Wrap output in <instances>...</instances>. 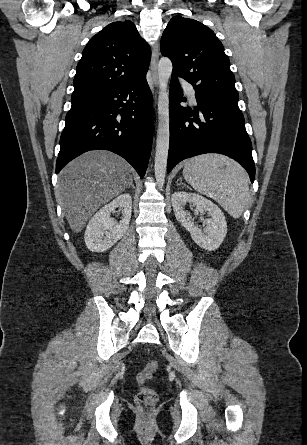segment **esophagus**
I'll use <instances>...</instances> for the list:
<instances>
[{
	"instance_id": "obj_1",
	"label": "esophagus",
	"mask_w": 307,
	"mask_h": 445,
	"mask_svg": "<svg viewBox=\"0 0 307 445\" xmlns=\"http://www.w3.org/2000/svg\"><path fill=\"white\" fill-rule=\"evenodd\" d=\"M158 60H159V43L156 41L152 48V58L150 64L152 83L156 91H158L159 88L158 71H157Z\"/></svg>"
}]
</instances>
